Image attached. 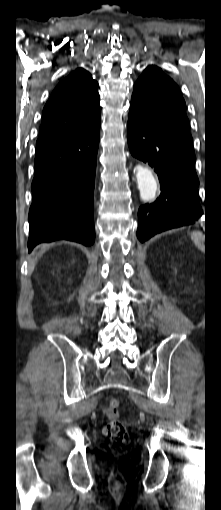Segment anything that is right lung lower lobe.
<instances>
[{
  "label": "right lung lower lobe",
  "mask_w": 221,
  "mask_h": 510,
  "mask_svg": "<svg viewBox=\"0 0 221 510\" xmlns=\"http://www.w3.org/2000/svg\"><path fill=\"white\" fill-rule=\"evenodd\" d=\"M99 133L100 119L80 133L36 146L29 252L39 243L61 239L93 244Z\"/></svg>",
  "instance_id": "98d812e1"
}]
</instances>
